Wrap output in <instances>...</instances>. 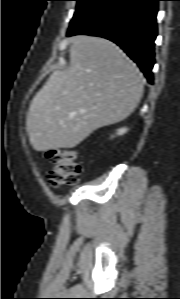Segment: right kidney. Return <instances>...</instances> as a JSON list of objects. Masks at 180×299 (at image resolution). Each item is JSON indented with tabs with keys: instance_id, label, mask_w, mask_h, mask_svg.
<instances>
[{
	"instance_id": "right-kidney-1",
	"label": "right kidney",
	"mask_w": 180,
	"mask_h": 299,
	"mask_svg": "<svg viewBox=\"0 0 180 299\" xmlns=\"http://www.w3.org/2000/svg\"><path fill=\"white\" fill-rule=\"evenodd\" d=\"M127 132V129L126 128H121L117 131V135H123L124 133Z\"/></svg>"
}]
</instances>
